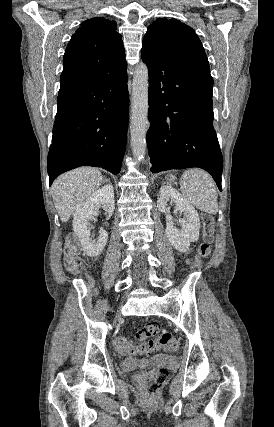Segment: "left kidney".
I'll use <instances>...</instances> for the list:
<instances>
[{"instance_id":"obj_1","label":"left kidney","mask_w":274,"mask_h":427,"mask_svg":"<svg viewBox=\"0 0 274 427\" xmlns=\"http://www.w3.org/2000/svg\"><path fill=\"white\" fill-rule=\"evenodd\" d=\"M168 202L175 206L178 214L184 215V217H179L182 229L175 227L173 217L169 214ZM157 208L159 212L166 214L165 231L170 243L178 251H189L191 241L199 239L200 217L198 212L171 186H162L160 188Z\"/></svg>"}]
</instances>
